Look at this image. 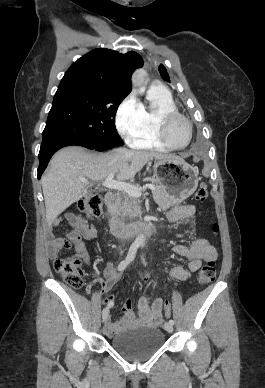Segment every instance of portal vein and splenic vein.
<instances>
[{
    "label": "portal vein and splenic vein",
    "instance_id": "18ae733b",
    "mask_svg": "<svg viewBox=\"0 0 265 388\" xmlns=\"http://www.w3.org/2000/svg\"><path fill=\"white\" fill-rule=\"evenodd\" d=\"M113 178L114 174H110V176L106 178L105 182H102V186H105V188H112V190H121V192H126V194H129L132 198H140L142 192H144L146 188H149V190H155V186H152V184H145L143 188H137V186L127 184V182H116ZM80 180L83 184H89L86 178H80Z\"/></svg>",
    "mask_w": 265,
    "mask_h": 388
}]
</instances>
